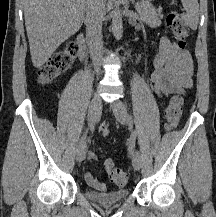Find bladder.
Here are the masks:
<instances>
[{"label": "bladder", "instance_id": "31cf9c89", "mask_svg": "<svg viewBox=\"0 0 216 217\" xmlns=\"http://www.w3.org/2000/svg\"><path fill=\"white\" fill-rule=\"evenodd\" d=\"M85 195L95 203L101 205H112L126 200L129 196V191L124 187L108 192H96L91 189H86Z\"/></svg>", "mask_w": 216, "mask_h": 217}]
</instances>
